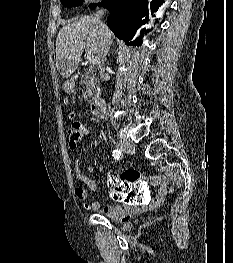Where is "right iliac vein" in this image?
Here are the masks:
<instances>
[{
    "instance_id": "1",
    "label": "right iliac vein",
    "mask_w": 233,
    "mask_h": 263,
    "mask_svg": "<svg viewBox=\"0 0 233 263\" xmlns=\"http://www.w3.org/2000/svg\"><path fill=\"white\" fill-rule=\"evenodd\" d=\"M116 146L125 153H133L135 151V147L132 143L126 140H119L116 142Z\"/></svg>"
}]
</instances>
